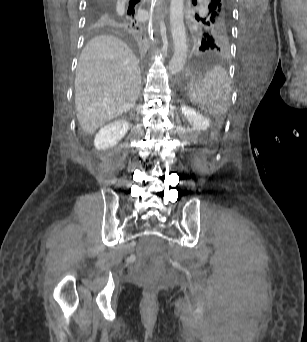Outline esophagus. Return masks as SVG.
<instances>
[{
    "label": "esophagus",
    "instance_id": "34e87169",
    "mask_svg": "<svg viewBox=\"0 0 307 342\" xmlns=\"http://www.w3.org/2000/svg\"><path fill=\"white\" fill-rule=\"evenodd\" d=\"M163 3L164 0H154L153 7V24L158 29L160 28L161 15L163 13Z\"/></svg>",
    "mask_w": 307,
    "mask_h": 342
}]
</instances>
